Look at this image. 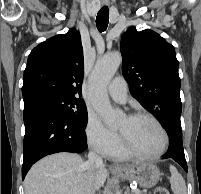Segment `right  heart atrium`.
Returning <instances> with one entry per match:
<instances>
[{"mask_svg": "<svg viewBox=\"0 0 201 194\" xmlns=\"http://www.w3.org/2000/svg\"><path fill=\"white\" fill-rule=\"evenodd\" d=\"M88 145L100 155L107 156L120 145L117 133L108 129L94 113H89L85 125Z\"/></svg>", "mask_w": 201, "mask_h": 194, "instance_id": "right-heart-atrium-1", "label": "right heart atrium"}]
</instances>
